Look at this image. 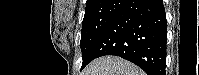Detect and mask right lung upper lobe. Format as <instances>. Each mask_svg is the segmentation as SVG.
Here are the masks:
<instances>
[{"mask_svg":"<svg viewBox=\"0 0 199 75\" xmlns=\"http://www.w3.org/2000/svg\"><path fill=\"white\" fill-rule=\"evenodd\" d=\"M107 0H87L86 9L102 5Z\"/></svg>","mask_w":199,"mask_h":75,"instance_id":"right-lung-upper-lobe-1","label":"right lung upper lobe"}]
</instances>
